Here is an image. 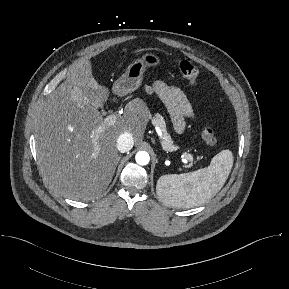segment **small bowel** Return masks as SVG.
<instances>
[{
    "label": "small bowel",
    "instance_id": "1",
    "mask_svg": "<svg viewBox=\"0 0 289 289\" xmlns=\"http://www.w3.org/2000/svg\"><path fill=\"white\" fill-rule=\"evenodd\" d=\"M148 92L158 96L165 104L178 133L184 131L186 119H197L191 103L179 87L156 80L148 87Z\"/></svg>",
    "mask_w": 289,
    "mask_h": 289
}]
</instances>
